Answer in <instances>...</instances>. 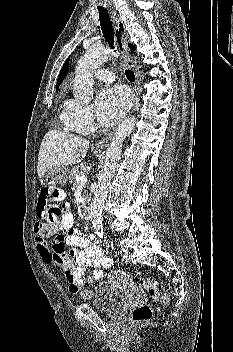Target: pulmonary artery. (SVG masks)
Listing matches in <instances>:
<instances>
[{"label": "pulmonary artery", "instance_id": "obj_1", "mask_svg": "<svg viewBox=\"0 0 233 352\" xmlns=\"http://www.w3.org/2000/svg\"><path fill=\"white\" fill-rule=\"evenodd\" d=\"M96 79L104 82H111L114 80V74L107 69H99L95 72Z\"/></svg>", "mask_w": 233, "mask_h": 352}]
</instances>
